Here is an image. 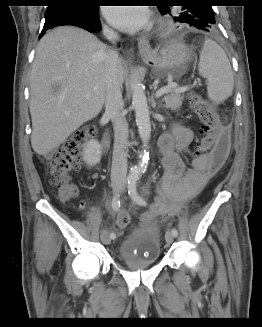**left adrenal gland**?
I'll use <instances>...</instances> for the list:
<instances>
[{
	"label": "left adrenal gland",
	"instance_id": "obj_1",
	"mask_svg": "<svg viewBox=\"0 0 262 327\" xmlns=\"http://www.w3.org/2000/svg\"><path fill=\"white\" fill-rule=\"evenodd\" d=\"M151 104H152V107L154 109H156L157 103L155 102V95H154V93H152V96H151ZM158 107H160V105Z\"/></svg>",
	"mask_w": 262,
	"mask_h": 327
}]
</instances>
